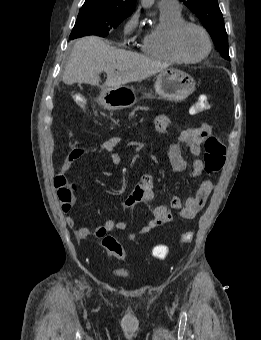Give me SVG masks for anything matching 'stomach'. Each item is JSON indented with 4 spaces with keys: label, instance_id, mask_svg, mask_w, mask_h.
<instances>
[{
    "label": "stomach",
    "instance_id": "1",
    "mask_svg": "<svg viewBox=\"0 0 261 340\" xmlns=\"http://www.w3.org/2000/svg\"><path fill=\"white\" fill-rule=\"evenodd\" d=\"M195 86L196 82L191 75L174 68H169L159 72L156 76L154 88L159 98L172 102H180L195 91ZM146 96L151 97L150 94ZM137 101V92L132 86L127 85L103 88L99 96L100 105L107 110L129 108Z\"/></svg>",
    "mask_w": 261,
    "mask_h": 340
}]
</instances>
